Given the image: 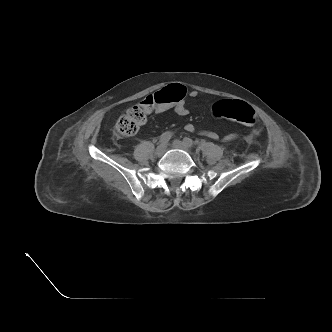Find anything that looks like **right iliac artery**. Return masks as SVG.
<instances>
[{"instance_id":"obj_1","label":"right iliac artery","mask_w":332,"mask_h":332,"mask_svg":"<svg viewBox=\"0 0 332 332\" xmlns=\"http://www.w3.org/2000/svg\"><path fill=\"white\" fill-rule=\"evenodd\" d=\"M171 137H172V132H170V131L164 132L160 136L159 142L166 144L171 139Z\"/></svg>"}]
</instances>
